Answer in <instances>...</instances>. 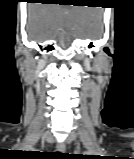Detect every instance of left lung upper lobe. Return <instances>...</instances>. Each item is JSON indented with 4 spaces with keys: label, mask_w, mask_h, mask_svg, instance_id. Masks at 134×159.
I'll list each match as a JSON object with an SVG mask.
<instances>
[{
    "label": "left lung upper lobe",
    "mask_w": 134,
    "mask_h": 159,
    "mask_svg": "<svg viewBox=\"0 0 134 159\" xmlns=\"http://www.w3.org/2000/svg\"><path fill=\"white\" fill-rule=\"evenodd\" d=\"M95 156H81L80 159H96Z\"/></svg>",
    "instance_id": "obj_1"
}]
</instances>
